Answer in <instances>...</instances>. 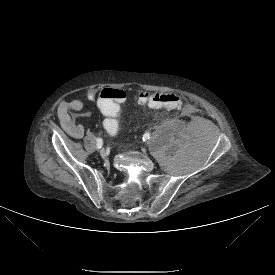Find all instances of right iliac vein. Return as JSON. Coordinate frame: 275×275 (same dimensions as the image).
I'll list each match as a JSON object with an SVG mask.
<instances>
[{"mask_svg":"<svg viewBox=\"0 0 275 275\" xmlns=\"http://www.w3.org/2000/svg\"><path fill=\"white\" fill-rule=\"evenodd\" d=\"M99 153H100V155H101L102 157H105V156H106V151H105V149H101V150L99 151Z\"/></svg>","mask_w":275,"mask_h":275,"instance_id":"1","label":"right iliac vein"}]
</instances>
